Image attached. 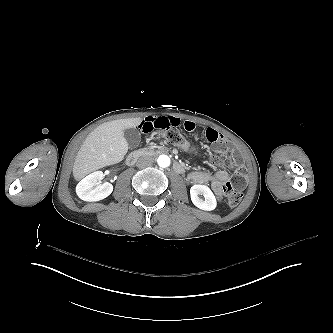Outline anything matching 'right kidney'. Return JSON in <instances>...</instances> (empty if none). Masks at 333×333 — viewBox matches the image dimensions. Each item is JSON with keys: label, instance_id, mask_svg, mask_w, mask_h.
<instances>
[{"label": "right kidney", "instance_id": "1", "mask_svg": "<svg viewBox=\"0 0 333 333\" xmlns=\"http://www.w3.org/2000/svg\"><path fill=\"white\" fill-rule=\"evenodd\" d=\"M104 178L102 171H95L83 178L76 186L78 197L84 201H100L109 196L113 191V185L109 182L98 184Z\"/></svg>", "mask_w": 333, "mask_h": 333}]
</instances>
